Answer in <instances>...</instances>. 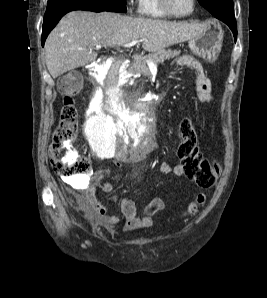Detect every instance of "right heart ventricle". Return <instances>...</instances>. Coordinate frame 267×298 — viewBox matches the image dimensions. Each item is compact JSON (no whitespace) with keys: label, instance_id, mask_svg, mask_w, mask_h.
Wrapping results in <instances>:
<instances>
[{"label":"right heart ventricle","instance_id":"obj_1","mask_svg":"<svg viewBox=\"0 0 267 298\" xmlns=\"http://www.w3.org/2000/svg\"><path fill=\"white\" fill-rule=\"evenodd\" d=\"M138 14L143 18L150 19H168L171 17L160 8L158 0H138Z\"/></svg>","mask_w":267,"mask_h":298}]
</instances>
